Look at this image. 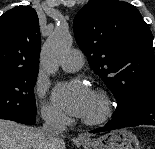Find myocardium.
Wrapping results in <instances>:
<instances>
[{"instance_id":"f54148a6","label":"myocardium","mask_w":155,"mask_h":149,"mask_svg":"<svg viewBox=\"0 0 155 149\" xmlns=\"http://www.w3.org/2000/svg\"><path fill=\"white\" fill-rule=\"evenodd\" d=\"M95 95L100 105L99 113L93 117H83L82 121L88 125H96L106 121L112 114L113 106L109 95L102 89H96Z\"/></svg>"}]
</instances>
